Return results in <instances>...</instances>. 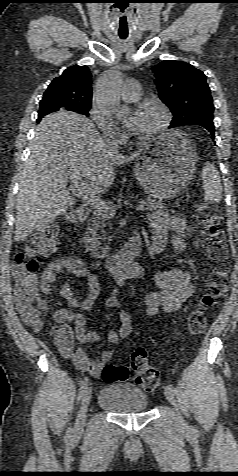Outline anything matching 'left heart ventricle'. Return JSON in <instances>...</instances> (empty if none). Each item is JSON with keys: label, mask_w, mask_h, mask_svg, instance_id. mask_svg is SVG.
Segmentation results:
<instances>
[{"label": "left heart ventricle", "mask_w": 238, "mask_h": 476, "mask_svg": "<svg viewBox=\"0 0 238 476\" xmlns=\"http://www.w3.org/2000/svg\"><path fill=\"white\" fill-rule=\"evenodd\" d=\"M137 113L140 115V120L134 133L140 137L154 130L161 121L160 112L153 107L141 108Z\"/></svg>", "instance_id": "obj_1"}]
</instances>
